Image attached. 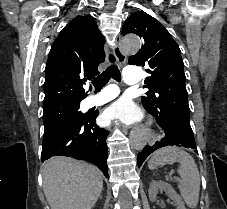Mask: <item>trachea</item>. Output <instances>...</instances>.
Instances as JSON below:
<instances>
[{"instance_id": "1", "label": "trachea", "mask_w": 227, "mask_h": 209, "mask_svg": "<svg viewBox=\"0 0 227 209\" xmlns=\"http://www.w3.org/2000/svg\"><path fill=\"white\" fill-rule=\"evenodd\" d=\"M109 60L112 62V65H110V67H108L101 75H98V77L92 80L96 92H99L103 87H105L111 77L117 82L121 81V73L117 65L114 64L115 58L113 55L109 56Z\"/></svg>"}]
</instances>
